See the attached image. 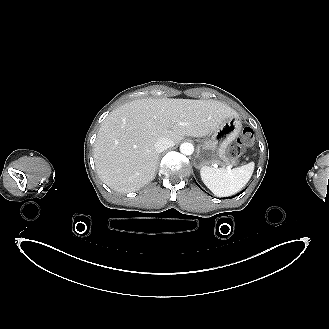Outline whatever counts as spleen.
<instances>
[{"instance_id":"spleen-1","label":"spleen","mask_w":329,"mask_h":329,"mask_svg":"<svg viewBox=\"0 0 329 329\" xmlns=\"http://www.w3.org/2000/svg\"><path fill=\"white\" fill-rule=\"evenodd\" d=\"M254 167V162L234 169L204 166L200 170V175L203 183L215 196L226 197L236 194L248 183Z\"/></svg>"}]
</instances>
